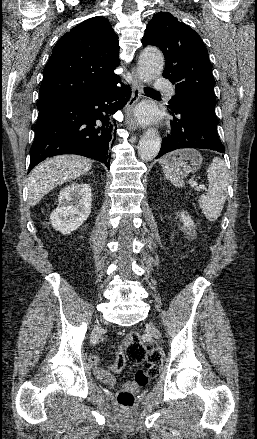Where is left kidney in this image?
<instances>
[{"label":"left kidney","instance_id":"1","mask_svg":"<svg viewBox=\"0 0 257 439\" xmlns=\"http://www.w3.org/2000/svg\"><path fill=\"white\" fill-rule=\"evenodd\" d=\"M181 219L185 229L192 230L195 227L194 222L191 220L189 216H186L185 214L181 213Z\"/></svg>","mask_w":257,"mask_h":439}]
</instances>
